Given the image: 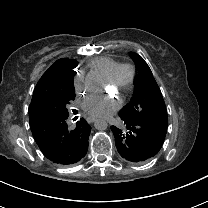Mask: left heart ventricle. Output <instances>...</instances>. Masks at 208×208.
<instances>
[{
	"label": "left heart ventricle",
	"instance_id": "b2bd125f",
	"mask_svg": "<svg viewBox=\"0 0 208 208\" xmlns=\"http://www.w3.org/2000/svg\"><path fill=\"white\" fill-rule=\"evenodd\" d=\"M127 77H128L127 72H122V74L120 75V78H119L120 83L124 82V81L127 79ZM104 84H105V81L103 80V81L98 85V87H96V88L92 91V95H95V92L97 91V89H98L100 86L104 85ZM117 86H119V85H117ZM119 87H120V86H119Z\"/></svg>",
	"mask_w": 208,
	"mask_h": 208
}]
</instances>
